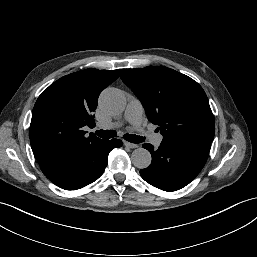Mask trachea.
Returning a JSON list of instances; mask_svg holds the SVG:
<instances>
[{"label":"trachea","instance_id":"1","mask_svg":"<svg viewBox=\"0 0 257 257\" xmlns=\"http://www.w3.org/2000/svg\"><path fill=\"white\" fill-rule=\"evenodd\" d=\"M95 133L96 135L104 139L113 138L117 135L115 130H97ZM124 139L131 143H141L145 140V138L142 136L132 135L128 133L124 135Z\"/></svg>","mask_w":257,"mask_h":257}]
</instances>
